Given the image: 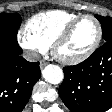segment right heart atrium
<instances>
[{"label":"right heart atrium","instance_id":"obj_1","mask_svg":"<svg viewBox=\"0 0 112 112\" xmlns=\"http://www.w3.org/2000/svg\"><path fill=\"white\" fill-rule=\"evenodd\" d=\"M17 41L29 58L35 59L45 53L49 46L35 36L27 26H23L17 33Z\"/></svg>","mask_w":112,"mask_h":112}]
</instances>
